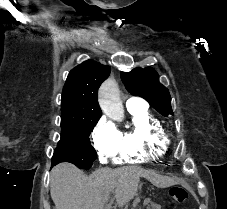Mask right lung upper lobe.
Wrapping results in <instances>:
<instances>
[{"label": "right lung upper lobe", "mask_w": 227, "mask_h": 209, "mask_svg": "<svg viewBox=\"0 0 227 209\" xmlns=\"http://www.w3.org/2000/svg\"><path fill=\"white\" fill-rule=\"evenodd\" d=\"M111 68L92 60L72 69L65 82L61 99V117L101 116L97 92Z\"/></svg>", "instance_id": "1"}]
</instances>
